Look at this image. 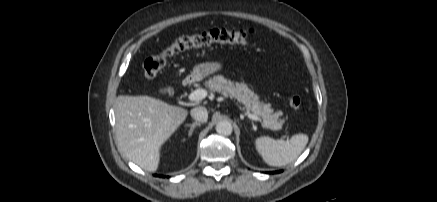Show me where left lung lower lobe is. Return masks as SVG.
I'll list each match as a JSON object with an SVG mask.
<instances>
[{"instance_id": "1", "label": "left lung lower lobe", "mask_w": 437, "mask_h": 202, "mask_svg": "<svg viewBox=\"0 0 437 202\" xmlns=\"http://www.w3.org/2000/svg\"><path fill=\"white\" fill-rule=\"evenodd\" d=\"M280 172H282L281 170L280 171H275V173H280ZM274 173V172H273Z\"/></svg>"}]
</instances>
